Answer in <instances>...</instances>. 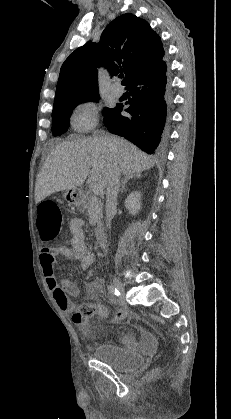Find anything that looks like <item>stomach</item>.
I'll use <instances>...</instances> for the list:
<instances>
[{"label":"stomach","instance_id":"1","mask_svg":"<svg viewBox=\"0 0 231 419\" xmlns=\"http://www.w3.org/2000/svg\"><path fill=\"white\" fill-rule=\"evenodd\" d=\"M63 197L69 204L80 205L81 203V195L77 189L66 190Z\"/></svg>","mask_w":231,"mask_h":419}]
</instances>
